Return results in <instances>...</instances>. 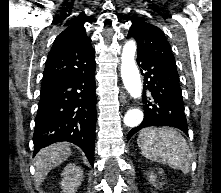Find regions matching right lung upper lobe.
<instances>
[{"mask_svg": "<svg viewBox=\"0 0 221 193\" xmlns=\"http://www.w3.org/2000/svg\"><path fill=\"white\" fill-rule=\"evenodd\" d=\"M55 39L48 54L43 82L85 70L95 62L91 39L86 35L81 19L73 18Z\"/></svg>", "mask_w": 221, "mask_h": 193, "instance_id": "right-lung-upper-lobe-1", "label": "right lung upper lobe"}]
</instances>
